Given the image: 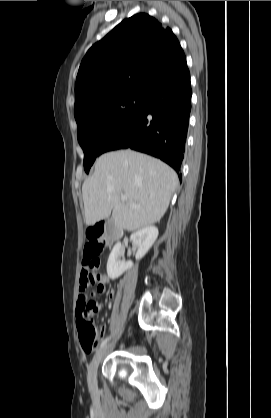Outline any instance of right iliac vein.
<instances>
[{
    "label": "right iliac vein",
    "instance_id": "right-iliac-vein-1",
    "mask_svg": "<svg viewBox=\"0 0 271 418\" xmlns=\"http://www.w3.org/2000/svg\"><path fill=\"white\" fill-rule=\"evenodd\" d=\"M108 346L101 348L93 357L90 366L88 368V383L91 389H95L97 386V370L100 362L102 361Z\"/></svg>",
    "mask_w": 271,
    "mask_h": 418
}]
</instances>
